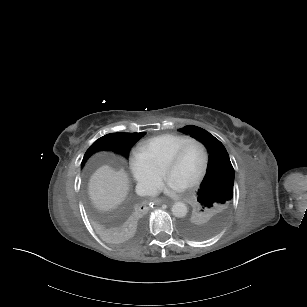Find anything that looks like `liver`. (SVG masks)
Listing matches in <instances>:
<instances>
[{"label": "liver", "mask_w": 307, "mask_h": 307, "mask_svg": "<svg viewBox=\"0 0 307 307\" xmlns=\"http://www.w3.org/2000/svg\"><path fill=\"white\" fill-rule=\"evenodd\" d=\"M127 190L128 179L123 169H115L110 165L100 167L90 179V197L102 210H109L119 204Z\"/></svg>", "instance_id": "6515ba94"}]
</instances>
